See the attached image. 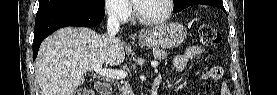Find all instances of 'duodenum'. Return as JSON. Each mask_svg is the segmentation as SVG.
<instances>
[{
  "mask_svg": "<svg viewBox=\"0 0 277 95\" xmlns=\"http://www.w3.org/2000/svg\"><path fill=\"white\" fill-rule=\"evenodd\" d=\"M160 83H161L160 79H156L153 81L151 85L150 95H158V89H159ZM95 90L98 94L110 95L112 92V87L108 82H98L95 85Z\"/></svg>",
  "mask_w": 277,
  "mask_h": 95,
  "instance_id": "obj_1",
  "label": "duodenum"
}]
</instances>
